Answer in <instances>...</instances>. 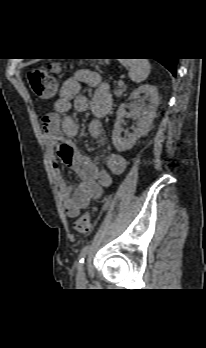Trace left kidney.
Here are the masks:
<instances>
[{
    "instance_id": "obj_1",
    "label": "left kidney",
    "mask_w": 206,
    "mask_h": 348,
    "mask_svg": "<svg viewBox=\"0 0 206 348\" xmlns=\"http://www.w3.org/2000/svg\"><path fill=\"white\" fill-rule=\"evenodd\" d=\"M129 100L131 102L128 105L122 104L117 110V118L112 131V141L119 152L131 149L141 136L149 132L159 105L158 90L152 85H141L132 92ZM145 100H148L149 103L146 104ZM126 107L131 109V114L138 120V124L133 133L122 137L121 132Z\"/></svg>"
}]
</instances>
